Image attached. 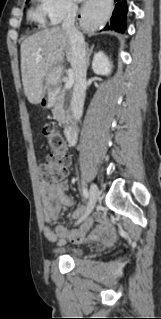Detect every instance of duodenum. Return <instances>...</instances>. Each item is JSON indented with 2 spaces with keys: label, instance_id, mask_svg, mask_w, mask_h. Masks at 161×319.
<instances>
[{
  "label": "duodenum",
  "instance_id": "duodenum-1",
  "mask_svg": "<svg viewBox=\"0 0 161 319\" xmlns=\"http://www.w3.org/2000/svg\"><path fill=\"white\" fill-rule=\"evenodd\" d=\"M65 136L70 145L75 144L76 141V131L72 124H66L65 126Z\"/></svg>",
  "mask_w": 161,
  "mask_h": 319
}]
</instances>
